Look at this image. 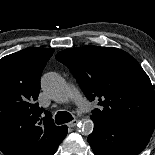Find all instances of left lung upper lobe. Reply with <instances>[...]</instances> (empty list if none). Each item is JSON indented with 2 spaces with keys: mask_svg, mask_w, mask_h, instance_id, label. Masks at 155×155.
Masks as SVG:
<instances>
[{
  "mask_svg": "<svg viewBox=\"0 0 155 155\" xmlns=\"http://www.w3.org/2000/svg\"><path fill=\"white\" fill-rule=\"evenodd\" d=\"M58 61L68 66L89 100L101 109L91 119L155 120V95L148 75L127 52L98 46L65 49Z\"/></svg>",
  "mask_w": 155,
  "mask_h": 155,
  "instance_id": "left-lung-upper-lobe-1",
  "label": "left lung upper lobe"
}]
</instances>
